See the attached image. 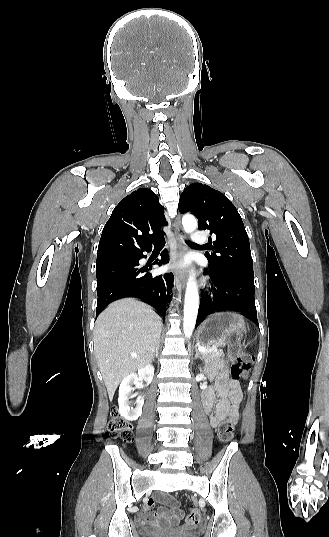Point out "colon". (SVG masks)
<instances>
[{
  "instance_id": "5ec220e1",
  "label": "colon",
  "mask_w": 329,
  "mask_h": 537,
  "mask_svg": "<svg viewBox=\"0 0 329 537\" xmlns=\"http://www.w3.org/2000/svg\"><path fill=\"white\" fill-rule=\"evenodd\" d=\"M229 355L234 360V364L231 368L233 378L239 379L245 377L253 363V357L241 350L238 343H233L229 348ZM112 419L109 423V431L115 437L120 439L123 443L128 444L133 440V430L131 423L121 417L117 408H112ZM236 426V420L230 418L220 424L218 427V434L222 441L230 442L234 436V429ZM201 521V514L197 510H190L186 522L189 525H197Z\"/></svg>"
}]
</instances>
